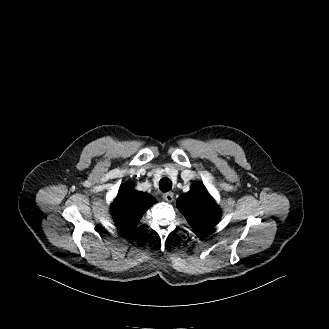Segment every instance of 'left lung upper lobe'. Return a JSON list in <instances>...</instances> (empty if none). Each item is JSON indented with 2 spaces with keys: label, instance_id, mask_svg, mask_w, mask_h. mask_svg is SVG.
I'll return each mask as SVG.
<instances>
[{
  "label": "left lung upper lobe",
  "instance_id": "5c2ea615",
  "mask_svg": "<svg viewBox=\"0 0 329 329\" xmlns=\"http://www.w3.org/2000/svg\"><path fill=\"white\" fill-rule=\"evenodd\" d=\"M176 205L197 235L211 230L220 219V210L200 182L193 183L190 191L177 199Z\"/></svg>",
  "mask_w": 329,
  "mask_h": 329
}]
</instances>
